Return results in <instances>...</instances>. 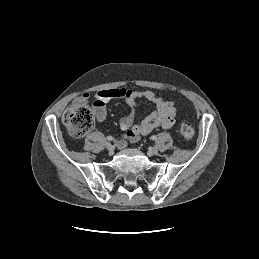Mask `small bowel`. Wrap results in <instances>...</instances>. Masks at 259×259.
<instances>
[{"label": "small bowel", "mask_w": 259, "mask_h": 259, "mask_svg": "<svg viewBox=\"0 0 259 259\" xmlns=\"http://www.w3.org/2000/svg\"><path fill=\"white\" fill-rule=\"evenodd\" d=\"M90 95L84 93L78 97L74 104H86ZM93 110L98 121H103L106 117V103L112 99L122 98L129 106V112L120 118L119 125L123 131L122 137L118 140V147L125 148L128 142L136 143L142 136L152 132L154 129H169L176 123L177 107L173 101H168L158 96L150 90L136 91L131 89H104L95 93L93 96ZM145 99L156 106V110L141 120L136 121L135 110L138 101Z\"/></svg>", "instance_id": "obj_1"}]
</instances>
